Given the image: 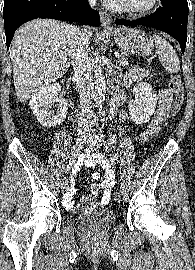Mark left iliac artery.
I'll list each match as a JSON object with an SVG mask.
<instances>
[{
	"label": "left iliac artery",
	"mask_w": 195,
	"mask_h": 270,
	"mask_svg": "<svg viewBox=\"0 0 195 270\" xmlns=\"http://www.w3.org/2000/svg\"><path fill=\"white\" fill-rule=\"evenodd\" d=\"M99 133H100V140H102L104 142L101 128L99 129ZM120 174H121V179L123 180V182H125V180L123 179L124 175L121 173V171H120Z\"/></svg>",
	"instance_id": "left-iliac-artery-1"
}]
</instances>
